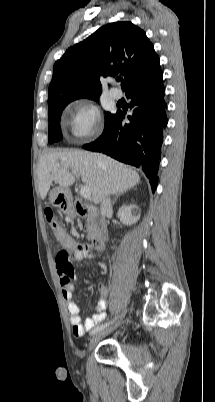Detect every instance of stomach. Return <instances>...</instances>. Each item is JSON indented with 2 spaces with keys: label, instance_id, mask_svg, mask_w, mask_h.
Segmentation results:
<instances>
[{
  "label": "stomach",
  "instance_id": "0dacf381",
  "mask_svg": "<svg viewBox=\"0 0 215 402\" xmlns=\"http://www.w3.org/2000/svg\"><path fill=\"white\" fill-rule=\"evenodd\" d=\"M49 200L51 204L57 207L64 214L73 213L70 190L62 187H56L50 191Z\"/></svg>",
  "mask_w": 215,
  "mask_h": 402
}]
</instances>
